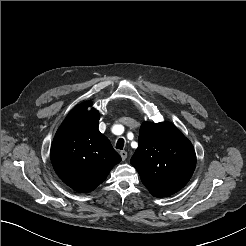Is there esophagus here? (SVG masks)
<instances>
[{
	"label": "esophagus",
	"mask_w": 246,
	"mask_h": 246,
	"mask_svg": "<svg viewBox=\"0 0 246 246\" xmlns=\"http://www.w3.org/2000/svg\"><path fill=\"white\" fill-rule=\"evenodd\" d=\"M120 156H121L123 161L126 160L127 159V152L124 150L120 151Z\"/></svg>",
	"instance_id": "1"
}]
</instances>
